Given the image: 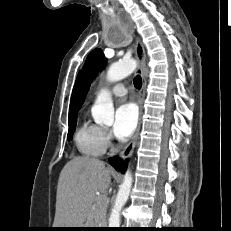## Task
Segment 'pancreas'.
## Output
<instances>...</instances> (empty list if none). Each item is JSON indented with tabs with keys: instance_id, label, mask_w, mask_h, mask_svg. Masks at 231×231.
<instances>
[{
	"instance_id": "1",
	"label": "pancreas",
	"mask_w": 231,
	"mask_h": 231,
	"mask_svg": "<svg viewBox=\"0 0 231 231\" xmlns=\"http://www.w3.org/2000/svg\"><path fill=\"white\" fill-rule=\"evenodd\" d=\"M97 201V198H96ZM90 223H94L97 226H105L106 225V204L98 203L96 204V211L93 214L92 219L90 220Z\"/></svg>"
}]
</instances>
